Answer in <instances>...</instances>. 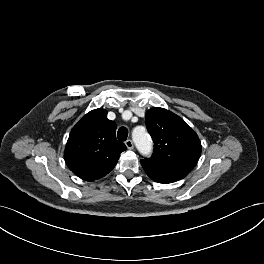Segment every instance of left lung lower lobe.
Returning a JSON list of instances; mask_svg holds the SVG:
<instances>
[{
    "instance_id": "1",
    "label": "left lung lower lobe",
    "mask_w": 264,
    "mask_h": 264,
    "mask_svg": "<svg viewBox=\"0 0 264 264\" xmlns=\"http://www.w3.org/2000/svg\"><path fill=\"white\" fill-rule=\"evenodd\" d=\"M140 162L146 174L158 183H172L184 178L189 173L183 169L157 164L146 159Z\"/></svg>"
}]
</instances>
